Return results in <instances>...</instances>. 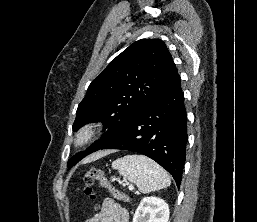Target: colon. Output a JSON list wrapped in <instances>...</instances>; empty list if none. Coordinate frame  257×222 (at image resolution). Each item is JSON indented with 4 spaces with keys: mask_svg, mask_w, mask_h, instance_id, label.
<instances>
[{
    "mask_svg": "<svg viewBox=\"0 0 257 222\" xmlns=\"http://www.w3.org/2000/svg\"><path fill=\"white\" fill-rule=\"evenodd\" d=\"M82 180L84 183V192L91 199L96 198V194L93 190V185L98 182L102 187L106 188L114 197L119 200H127V196L115 187L106 177L104 172L100 169H88L82 174Z\"/></svg>",
    "mask_w": 257,
    "mask_h": 222,
    "instance_id": "1",
    "label": "colon"
}]
</instances>
